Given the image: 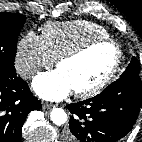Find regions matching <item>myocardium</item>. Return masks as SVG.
Here are the masks:
<instances>
[{
    "label": "myocardium",
    "mask_w": 142,
    "mask_h": 142,
    "mask_svg": "<svg viewBox=\"0 0 142 142\" xmlns=\"http://www.w3.org/2000/svg\"><path fill=\"white\" fill-rule=\"evenodd\" d=\"M100 45H110L114 48L116 52L115 61L111 69L108 71V73L96 84L85 89L73 90L74 95H76L77 97H92L94 95H97L99 92H101L105 87H107L110 84V82L116 76L122 62V49L120 45L111 38H95L77 46L76 48L70 51L61 54L56 59L55 64L56 67L58 68L63 62L79 58L84 54H86L87 52H89L94 47Z\"/></svg>",
    "instance_id": "1"
}]
</instances>
